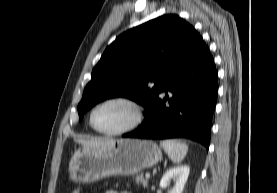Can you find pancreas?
<instances>
[{"label":"pancreas","mask_w":277,"mask_h":193,"mask_svg":"<svg viewBox=\"0 0 277 193\" xmlns=\"http://www.w3.org/2000/svg\"><path fill=\"white\" fill-rule=\"evenodd\" d=\"M135 182L138 185H143V187H147V185H148V180L145 179L142 174L135 177Z\"/></svg>","instance_id":"pancreas-1"}]
</instances>
